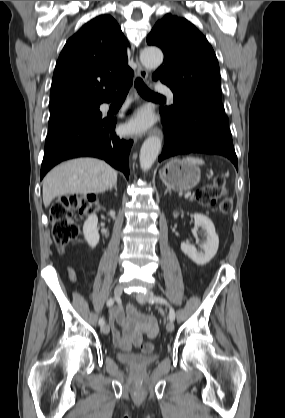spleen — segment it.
I'll return each instance as SVG.
<instances>
[{
	"instance_id": "obj_1",
	"label": "spleen",
	"mask_w": 285,
	"mask_h": 418,
	"mask_svg": "<svg viewBox=\"0 0 285 418\" xmlns=\"http://www.w3.org/2000/svg\"><path fill=\"white\" fill-rule=\"evenodd\" d=\"M184 162L188 163V164H195V165H203L204 161L201 158H197V157H192V156H188L186 158L183 159Z\"/></svg>"
}]
</instances>
